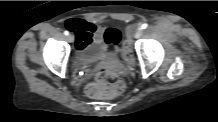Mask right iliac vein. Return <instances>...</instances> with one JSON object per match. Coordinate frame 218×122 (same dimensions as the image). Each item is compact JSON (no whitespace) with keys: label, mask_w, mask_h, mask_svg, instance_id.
<instances>
[{"label":"right iliac vein","mask_w":218,"mask_h":122,"mask_svg":"<svg viewBox=\"0 0 218 122\" xmlns=\"http://www.w3.org/2000/svg\"><path fill=\"white\" fill-rule=\"evenodd\" d=\"M67 39H68L69 42H73L74 41L73 35H68Z\"/></svg>","instance_id":"1"}]
</instances>
